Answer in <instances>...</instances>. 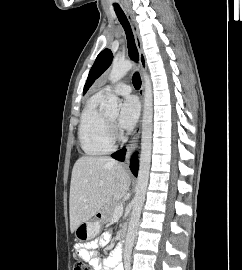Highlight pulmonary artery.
Here are the masks:
<instances>
[{"label": "pulmonary artery", "instance_id": "1", "mask_svg": "<svg viewBox=\"0 0 242 270\" xmlns=\"http://www.w3.org/2000/svg\"><path fill=\"white\" fill-rule=\"evenodd\" d=\"M131 92V87L128 84L125 83H118L116 85H108L104 88H102L98 95L101 97H105L110 93H116L118 95H128Z\"/></svg>", "mask_w": 242, "mask_h": 270}]
</instances>
